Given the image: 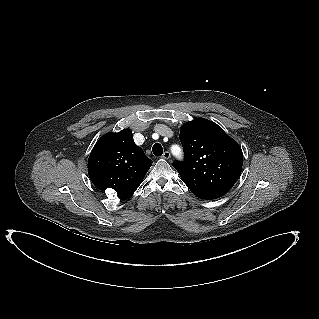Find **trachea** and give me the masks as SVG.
<instances>
[{
	"instance_id": "1",
	"label": "trachea",
	"mask_w": 319,
	"mask_h": 319,
	"mask_svg": "<svg viewBox=\"0 0 319 319\" xmlns=\"http://www.w3.org/2000/svg\"><path fill=\"white\" fill-rule=\"evenodd\" d=\"M153 154L157 157L161 156L163 154V148L161 144L155 143L152 147Z\"/></svg>"
}]
</instances>
